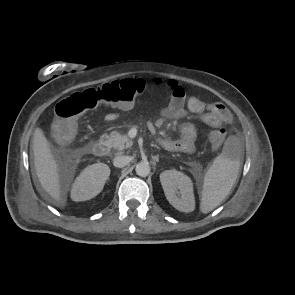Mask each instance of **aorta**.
Listing matches in <instances>:
<instances>
[{"label":"aorta","mask_w":295,"mask_h":295,"mask_svg":"<svg viewBox=\"0 0 295 295\" xmlns=\"http://www.w3.org/2000/svg\"><path fill=\"white\" fill-rule=\"evenodd\" d=\"M136 174L140 177H146L150 173V165L148 162H140L136 165Z\"/></svg>","instance_id":"obj_1"}]
</instances>
